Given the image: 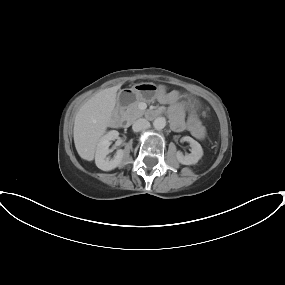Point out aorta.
<instances>
[{"mask_svg":"<svg viewBox=\"0 0 285 285\" xmlns=\"http://www.w3.org/2000/svg\"><path fill=\"white\" fill-rule=\"evenodd\" d=\"M153 126L157 130H161L166 126V119L164 117H158L154 120Z\"/></svg>","mask_w":285,"mask_h":285,"instance_id":"aorta-1","label":"aorta"}]
</instances>
